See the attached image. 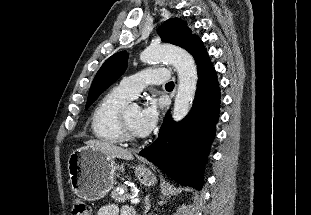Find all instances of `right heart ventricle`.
Here are the masks:
<instances>
[{
  "label": "right heart ventricle",
  "mask_w": 311,
  "mask_h": 215,
  "mask_svg": "<svg viewBox=\"0 0 311 215\" xmlns=\"http://www.w3.org/2000/svg\"><path fill=\"white\" fill-rule=\"evenodd\" d=\"M130 100L131 98L117 88H113L103 96L91 117L92 132L97 139L109 144H119L123 141L119 114Z\"/></svg>",
  "instance_id": "1"
}]
</instances>
